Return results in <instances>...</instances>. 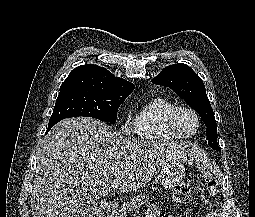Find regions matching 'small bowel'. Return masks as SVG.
<instances>
[{"instance_id": "1", "label": "small bowel", "mask_w": 255, "mask_h": 217, "mask_svg": "<svg viewBox=\"0 0 255 217\" xmlns=\"http://www.w3.org/2000/svg\"><path fill=\"white\" fill-rule=\"evenodd\" d=\"M146 217H160V210L157 205H150L147 208ZM167 217H174V216H167ZM205 217H223V215L218 211H211L206 214Z\"/></svg>"}]
</instances>
